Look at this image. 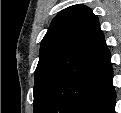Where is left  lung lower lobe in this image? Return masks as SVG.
Masks as SVG:
<instances>
[{"mask_svg": "<svg viewBox=\"0 0 121 113\" xmlns=\"http://www.w3.org/2000/svg\"><path fill=\"white\" fill-rule=\"evenodd\" d=\"M112 65L83 94L70 113H115L116 94L112 84Z\"/></svg>", "mask_w": 121, "mask_h": 113, "instance_id": "0a47b994", "label": "left lung lower lobe"}]
</instances>
